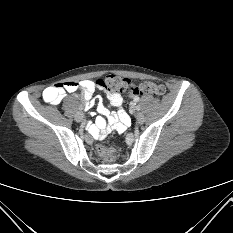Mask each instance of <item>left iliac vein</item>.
Returning <instances> with one entry per match:
<instances>
[{"instance_id": "4c4485c4", "label": "left iliac vein", "mask_w": 233, "mask_h": 233, "mask_svg": "<svg viewBox=\"0 0 233 233\" xmlns=\"http://www.w3.org/2000/svg\"><path fill=\"white\" fill-rule=\"evenodd\" d=\"M136 120L138 124H143L145 121V117L142 113H137L136 114Z\"/></svg>"}]
</instances>
